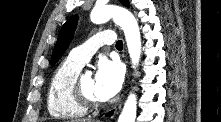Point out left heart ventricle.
I'll list each match as a JSON object with an SVG mask.
<instances>
[{
	"label": "left heart ventricle",
	"mask_w": 221,
	"mask_h": 122,
	"mask_svg": "<svg viewBox=\"0 0 221 122\" xmlns=\"http://www.w3.org/2000/svg\"><path fill=\"white\" fill-rule=\"evenodd\" d=\"M81 85L86 95H88L91 99L95 101H99L94 93V79L92 77H82Z\"/></svg>",
	"instance_id": "1"
}]
</instances>
